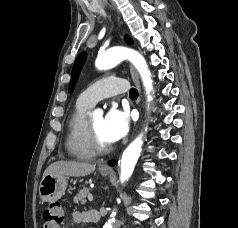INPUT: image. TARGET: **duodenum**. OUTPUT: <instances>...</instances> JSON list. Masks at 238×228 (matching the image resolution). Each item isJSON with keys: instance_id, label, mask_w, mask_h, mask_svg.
Returning a JSON list of instances; mask_svg holds the SVG:
<instances>
[{"instance_id": "obj_1", "label": "duodenum", "mask_w": 238, "mask_h": 228, "mask_svg": "<svg viewBox=\"0 0 238 228\" xmlns=\"http://www.w3.org/2000/svg\"><path fill=\"white\" fill-rule=\"evenodd\" d=\"M85 217L90 222H97L100 219V213L97 210H90L85 212Z\"/></svg>"}]
</instances>
